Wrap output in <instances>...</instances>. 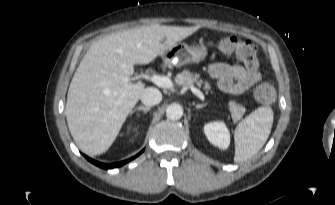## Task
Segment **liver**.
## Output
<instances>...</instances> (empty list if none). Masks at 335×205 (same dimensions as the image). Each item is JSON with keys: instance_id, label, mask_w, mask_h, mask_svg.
<instances>
[{"instance_id": "6515ba94", "label": "liver", "mask_w": 335, "mask_h": 205, "mask_svg": "<svg viewBox=\"0 0 335 205\" xmlns=\"http://www.w3.org/2000/svg\"><path fill=\"white\" fill-rule=\"evenodd\" d=\"M197 30L155 24L108 35L90 46L71 80L65 108L69 131L83 152H106L138 102L145 84L132 82L134 65L153 62Z\"/></svg>"}]
</instances>
